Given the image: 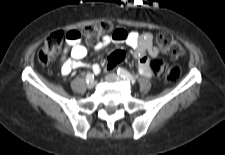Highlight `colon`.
I'll use <instances>...</instances> for the list:
<instances>
[{
  "label": "colon",
  "mask_w": 225,
  "mask_h": 155,
  "mask_svg": "<svg viewBox=\"0 0 225 155\" xmlns=\"http://www.w3.org/2000/svg\"><path fill=\"white\" fill-rule=\"evenodd\" d=\"M113 31L114 29L109 22L102 21L86 26L81 30V33L82 39L87 43H95ZM67 33L55 31L45 39L38 52V60L42 65H48L54 60L63 42L68 41ZM156 42L170 59H177L183 52L181 45L169 33H159L156 37ZM109 58L106 68L110 72H115L118 70L119 64L124 62L125 55L120 50L113 49L109 53ZM148 67L151 69V76L153 78H160L162 76L169 83L177 82L181 76V70L178 66L167 65L163 59L150 58L148 60Z\"/></svg>",
  "instance_id": "5ec220e1"
}]
</instances>
